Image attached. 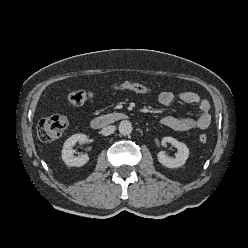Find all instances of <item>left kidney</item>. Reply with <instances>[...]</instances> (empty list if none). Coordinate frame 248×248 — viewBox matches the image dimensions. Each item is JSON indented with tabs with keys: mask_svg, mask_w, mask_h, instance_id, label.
Masks as SVG:
<instances>
[{
	"mask_svg": "<svg viewBox=\"0 0 248 248\" xmlns=\"http://www.w3.org/2000/svg\"><path fill=\"white\" fill-rule=\"evenodd\" d=\"M166 143H170L178 149L176 157H168L164 151H160L157 155L158 161L167 168H177L183 166L189 156V149L186 144L173 137H164L162 139V145H165Z\"/></svg>",
	"mask_w": 248,
	"mask_h": 248,
	"instance_id": "left-kidney-1",
	"label": "left kidney"
}]
</instances>
